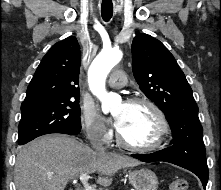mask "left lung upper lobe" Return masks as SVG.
Here are the masks:
<instances>
[{
	"mask_svg": "<svg viewBox=\"0 0 221 190\" xmlns=\"http://www.w3.org/2000/svg\"><path fill=\"white\" fill-rule=\"evenodd\" d=\"M132 68L143 93L165 114L179 154L205 157L198 107L183 71L157 39L140 33L132 42Z\"/></svg>",
	"mask_w": 221,
	"mask_h": 190,
	"instance_id": "5c2ea615",
	"label": "left lung upper lobe"
}]
</instances>
